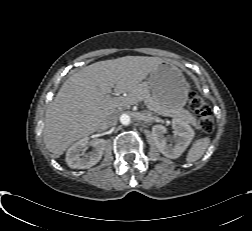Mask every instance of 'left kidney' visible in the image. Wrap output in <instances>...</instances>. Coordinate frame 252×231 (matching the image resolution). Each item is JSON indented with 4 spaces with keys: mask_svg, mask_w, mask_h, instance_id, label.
I'll use <instances>...</instances> for the list:
<instances>
[{
    "mask_svg": "<svg viewBox=\"0 0 252 231\" xmlns=\"http://www.w3.org/2000/svg\"><path fill=\"white\" fill-rule=\"evenodd\" d=\"M172 128L175 135V145L167 144L164 136L167 129L163 125H154L152 127V136L158 150L166 157L171 159L178 158L189 146L195 133L187 122L180 119L172 120Z\"/></svg>",
    "mask_w": 252,
    "mask_h": 231,
    "instance_id": "obj_1",
    "label": "left kidney"
}]
</instances>
